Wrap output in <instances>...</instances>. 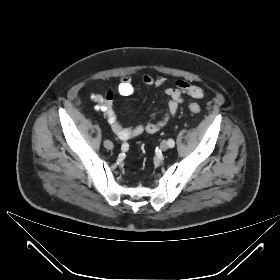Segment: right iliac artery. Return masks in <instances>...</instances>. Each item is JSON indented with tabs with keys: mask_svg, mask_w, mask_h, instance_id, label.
Segmentation results:
<instances>
[{
	"mask_svg": "<svg viewBox=\"0 0 280 280\" xmlns=\"http://www.w3.org/2000/svg\"><path fill=\"white\" fill-rule=\"evenodd\" d=\"M125 145H122V148L124 149Z\"/></svg>",
	"mask_w": 280,
	"mask_h": 280,
	"instance_id": "obj_1",
	"label": "right iliac artery"
}]
</instances>
